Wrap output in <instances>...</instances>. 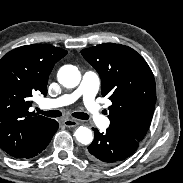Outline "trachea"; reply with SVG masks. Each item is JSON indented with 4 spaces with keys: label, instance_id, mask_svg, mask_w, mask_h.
Listing matches in <instances>:
<instances>
[{
    "label": "trachea",
    "instance_id": "1",
    "mask_svg": "<svg viewBox=\"0 0 183 183\" xmlns=\"http://www.w3.org/2000/svg\"><path fill=\"white\" fill-rule=\"evenodd\" d=\"M37 111L40 114L45 115L47 117H51V118H56V117L62 116V113L59 110L43 111V110L37 109ZM72 116L77 119H81V120L89 119V115L84 112H74V113H72Z\"/></svg>",
    "mask_w": 183,
    "mask_h": 183
}]
</instances>
